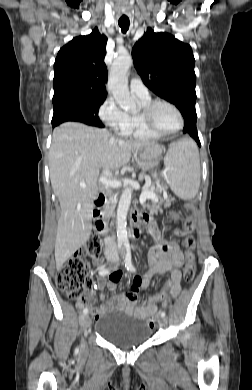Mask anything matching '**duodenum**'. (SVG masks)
Wrapping results in <instances>:
<instances>
[{
  "instance_id": "410a0bca",
  "label": "duodenum",
  "mask_w": 252,
  "mask_h": 390,
  "mask_svg": "<svg viewBox=\"0 0 252 390\" xmlns=\"http://www.w3.org/2000/svg\"><path fill=\"white\" fill-rule=\"evenodd\" d=\"M107 202V195L105 193L98 194L94 201L93 216L97 219L95 222V228L98 232L107 235L108 221L101 216V210ZM142 225V212L136 209L130 216V236L132 240H137L140 237V227Z\"/></svg>"
}]
</instances>
